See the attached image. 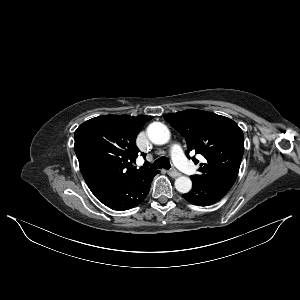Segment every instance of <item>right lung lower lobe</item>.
I'll return each instance as SVG.
<instances>
[{"instance_id": "obj_1", "label": "right lung lower lobe", "mask_w": 300, "mask_h": 300, "mask_svg": "<svg viewBox=\"0 0 300 300\" xmlns=\"http://www.w3.org/2000/svg\"><path fill=\"white\" fill-rule=\"evenodd\" d=\"M159 173L154 171L143 177L126 180L99 192L94 196L107 207L114 210H127L139 205L146 198L153 177Z\"/></svg>"}]
</instances>
